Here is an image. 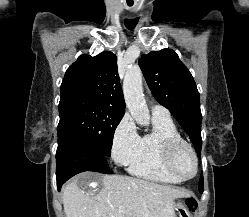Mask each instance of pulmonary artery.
<instances>
[{
  "mask_svg": "<svg viewBox=\"0 0 249 217\" xmlns=\"http://www.w3.org/2000/svg\"><path fill=\"white\" fill-rule=\"evenodd\" d=\"M152 115L154 117L170 118L169 111L165 107H163L161 105L153 106Z\"/></svg>",
  "mask_w": 249,
  "mask_h": 217,
  "instance_id": "obj_1",
  "label": "pulmonary artery"
}]
</instances>
